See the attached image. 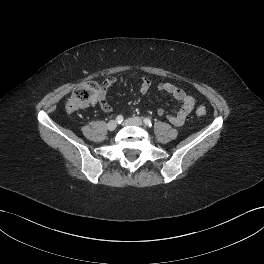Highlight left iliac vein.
<instances>
[{
  "label": "left iliac vein",
  "mask_w": 264,
  "mask_h": 264,
  "mask_svg": "<svg viewBox=\"0 0 264 264\" xmlns=\"http://www.w3.org/2000/svg\"><path fill=\"white\" fill-rule=\"evenodd\" d=\"M124 125H135V126H142L143 122L141 118L139 117H134V118H128L124 121Z\"/></svg>",
  "instance_id": "obj_1"
}]
</instances>
